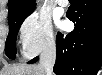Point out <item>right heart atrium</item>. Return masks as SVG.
<instances>
[{"label":"right heart atrium","instance_id":"1","mask_svg":"<svg viewBox=\"0 0 102 75\" xmlns=\"http://www.w3.org/2000/svg\"><path fill=\"white\" fill-rule=\"evenodd\" d=\"M19 40L21 51L26 58L53 48L55 37L50 19L39 12L28 15L19 27Z\"/></svg>","mask_w":102,"mask_h":75}]
</instances>
